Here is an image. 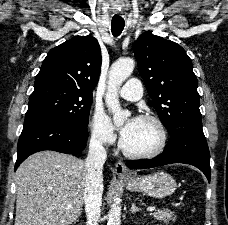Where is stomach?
<instances>
[{
    "instance_id": "obj_1",
    "label": "stomach",
    "mask_w": 228,
    "mask_h": 225,
    "mask_svg": "<svg viewBox=\"0 0 228 225\" xmlns=\"http://www.w3.org/2000/svg\"><path fill=\"white\" fill-rule=\"evenodd\" d=\"M129 191L135 193H143L147 197H155V199H165L169 195H173L177 189V183L171 175L158 171L146 177H137L132 175V179H123Z\"/></svg>"
}]
</instances>
